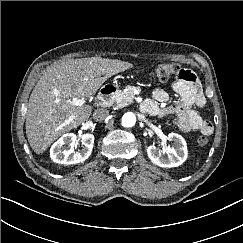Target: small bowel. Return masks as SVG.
Segmentation results:
<instances>
[{
  "mask_svg": "<svg viewBox=\"0 0 243 243\" xmlns=\"http://www.w3.org/2000/svg\"><path fill=\"white\" fill-rule=\"evenodd\" d=\"M189 72V78H177L172 83V89L181 97L180 103L166 104L169 99L167 92L157 88L153 91V98L145 101L142 108L148 114L158 117L173 114L177 117V125L182 131H198L208 136L213 132V125L195 110V107L205 103V97L197 77Z\"/></svg>",
  "mask_w": 243,
  "mask_h": 243,
  "instance_id": "small-bowel-1",
  "label": "small bowel"
}]
</instances>
